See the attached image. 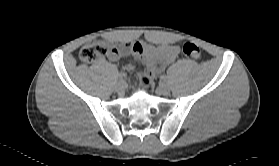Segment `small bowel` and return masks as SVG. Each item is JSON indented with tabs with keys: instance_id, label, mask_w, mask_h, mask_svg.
I'll use <instances>...</instances> for the list:
<instances>
[{
	"instance_id": "small-bowel-1",
	"label": "small bowel",
	"mask_w": 279,
	"mask_h": 166,
	"mask_svg": "<svg viewBox=\"0 0 279 166\" xmlns=\"http://www.w3.org/2000/svg\"><path fill=\"white\" fill-rule=\"evenodd\" d=\"M141 50L134 52L137 59L147 65L146 74L152 76L155 72L160 71L166 65L172 63L179 54V47L176 45H160L153 46L148 43L140 44ZM121 54L110 53L107 55L110 60H117ZM134 65L129 63L126 65L127 70H133Z\"/></svg>"
}]
</instances>
